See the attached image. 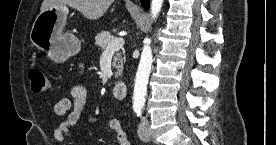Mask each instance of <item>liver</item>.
<instances>
[{
  "mask_svg": "<svg viewBox=\"0 0 276 145\" xmlns=\"http://www.w3.org/2000/svg\"><path fill=\"white\" fill-rule=\"evenodd\" d=\"M113 0H43L41 12L52 6L68 5L90 20H97L104 15Z\"/></svg>",
  "mask_w": 276,
  "mask_h": 145,
  "instance_id": "1",
  "label": "liver"
}]
</instances>
